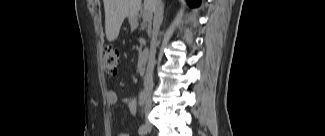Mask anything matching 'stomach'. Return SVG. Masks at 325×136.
Returning <instances> with one entry per match:
<instances>
[{
    "instance_id": "1",
    "label": "stomach",
    "mask_w": 325,
    "mask_h": 136,
    "mask_svg": "<svg viewBox=\"0 0 325 136\" xmlns=\"http://www.w3.org/2000/svg\"><path fill=\"white\" fill-rule=\"evenodd\" d=\"M129 22L132 25V27H135L136 26V18L129 17Z\"/></svg>"
}]
</instances>
